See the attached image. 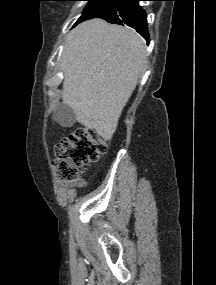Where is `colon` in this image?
Listing matches in <instances>:
<instances>
[{"label": "colon", "mask_w": 216, "mask_h": 285, "mask_svg": "<svg viewBox=\"0 0 216 285\" xmlns=\"http://www.w3.org/2000/svg\"><path fill=\"white\" fill-rule=\"evenodd\" d=\"M108 143L94 130L79 128L55 146L54 166L63 181H75L80 168L96 162L106 153Z\"/></svg>", "instance_id": "5ec220e1"}]
</instances>
